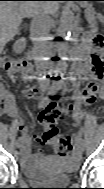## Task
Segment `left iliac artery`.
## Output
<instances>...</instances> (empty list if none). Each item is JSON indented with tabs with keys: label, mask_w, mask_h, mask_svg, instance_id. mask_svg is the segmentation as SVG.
I'll use <instances>...</instances> for the list:
<instances>
[{
	"label": "left iliac artery",
	"mask_w": 104,
	"mask_h": 189,
	"mask_svg": "<svg viewBox=\"0 0 104 189\" xmlns=\"http://www.w3.org/2000/svg\"><path fill=\"white\" fill-rule=\"evenodd\" d=\"M73 117H74V118H77V117H78V113H74V114H73ZM76 136H79V141H80L81 143L84 142V140H83V138H82L83 133H76Z\"/></svg>",
	"instance_id": "1"
}]
</instances>
